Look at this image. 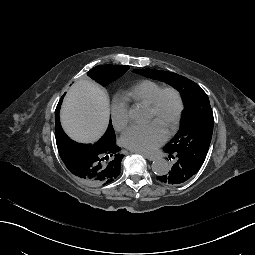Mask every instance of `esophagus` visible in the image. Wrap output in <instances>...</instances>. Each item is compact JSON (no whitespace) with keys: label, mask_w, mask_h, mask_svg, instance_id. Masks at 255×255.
<instances>
[{"label":"esophagus","mask_w":255,"mask_h":255,"mask_svg":"<svg viewBox=\"0 0 255 255\" xmlns=\"http://www.w3.org/2000/svg\"><path fill=\"white\" fill-rule=\"evenodd\" d=\"M134 153L139 154V155H143L146 159H148L150 161H154L156 159V156L147 155V154H144V153L139 152V151H134Z\"/></svg>","instance_id":"34e87169"}]
</instances>
